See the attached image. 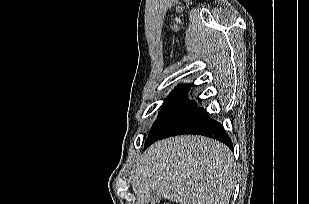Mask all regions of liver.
I'll return each instance as SVG.
<instances>
[{
  "instance_id": "6515ba94",
  "label": "liver",
  "mask_w": 309,
  "mask_h": 204,
  "mask_svg": "<svg viewBox=\"0 0 309 204\" xmlns=\"http://www.w3.org/2000/svg\"><path fill=\"white\" fill-rule=\"evenodd\" d=\"M132 188L143 202L154 189L179 204H229L236 185L232 152L206 137L184 135L156 142L140 158Z\"/></svg>"
}]
</instances>
